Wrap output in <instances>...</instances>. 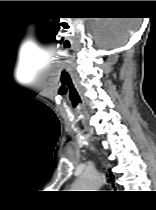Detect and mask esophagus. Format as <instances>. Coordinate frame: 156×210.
Returning <instances> with one entry per match:
<instances>
[{"label": "esophagus", "mask_w": 156, "mask_h": 210, "mask_svg": "<svg viewBox=\"0 0 156 210\" xmlns=\"http://www.w3.org/2000/svg\"><path fill=\"white\" fill-rule=\"evenodd\" d=\"M110 165H108V168L110 169ZM108 177H109V190L113 191L117 186H116V176L108 173Z\"/></svg>", "instance_id": "34e87169"}]
</instances>
